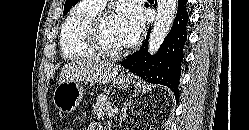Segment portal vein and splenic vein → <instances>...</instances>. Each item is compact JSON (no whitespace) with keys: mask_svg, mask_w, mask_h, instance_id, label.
Returning a JSON list of instances; mask_svg holds the SVG:
<instances>
[{"mask_svg":"<svg viewBox=\"0 0 249 130\" xmlns=\"http://www.w3.org/2000/svg\"><path fill=\"white\" fill-rule=\"evenodd\" d=\"M119 109L118 108H112L111 110L108 111V116L112 117L118 113Z\"/></svg>","mask_w":249,"mask_h":130,"instance_id":"1","label":"portal vein and splenic vein"}]
</instances>
